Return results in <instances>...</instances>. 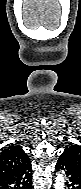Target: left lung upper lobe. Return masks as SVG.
Masks as SVG:
<instances>
[{
    "label": "left lung upper lobe",
    "instance_id": "left-lung-upper-lobe-1",
    "mask_svg": "<svg viewBox=\"0 0 81 189\" xmlns=\"http://www.w3.org/2000/svg\"><path fill=\"white\" fill-rule=\"evenodd\" d=\"M66 157H69L70 161L78 170L81 171V147L78 145H71L63 152Z\"/></svg>",
    "mask_w": 81,
    "mask_h": 189
}]
</instances>
